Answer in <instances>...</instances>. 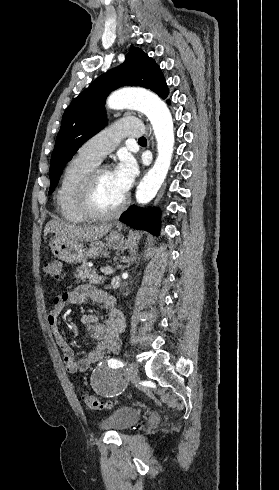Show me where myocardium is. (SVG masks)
<instances>
[{"label": "myocardium", "mask_w": 279, "mask_h": 490, "mask_svg": "<svg viewBox=\"0 0 279 490\" xmlns=\"http://www.w3.org/2000/svg\"><path fill=\"white\" fill-rule=\"evenodd\" d=\"M109 171L107 167L97 166L88 174L82 194V208L92 219L108 220L120 215L127 206V199L124 198L116 207L111 210H103L97 200L100 175Z\"/></svg>", "instance_id": "f54148a6"}]
</instances>
